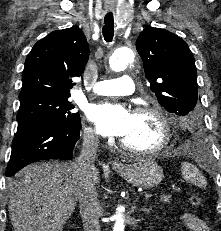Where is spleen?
<instances>
[{
	"instance_id": "3e777b00",
	"label": "spleen",
	"mask_w": 221,
	"mask_h": 231,
	"mask_svg": "<svg viewBox=\"0 0 221 231\" xmlns=\"http://www.w3.org/2000/svg\"><path fill=\"white\" fill-rule=\"evenodd\" d=\"M181 173L186 181L194 185L205 187L207 184L205 178L201 175L197 167L189 162H183L181 164Z\"/></svg>"
}]
</instances>
